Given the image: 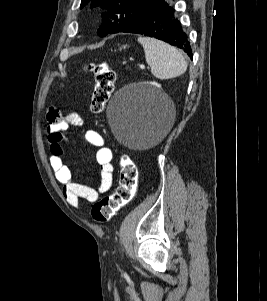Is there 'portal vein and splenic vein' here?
Returning a JSON list of instances; mask_svg holds the SVG:
<instances>
[{
  "instance_id": "1",
  "label": "portal vein and splenic vein",
  "mask_w": 267,
  "mask_h": 301,
  "mask_svg": "<svg viewBox=\"0 0 267 301\" xmlns=\"http://www.w3.org/2000/svg\"><path fill=\"white\" fill-rule=\"evenodd\" d=\"M139 67H140L141 69H144V68H145V66H144L143 64H140Z\"/></svg>"
}]
</instances>
